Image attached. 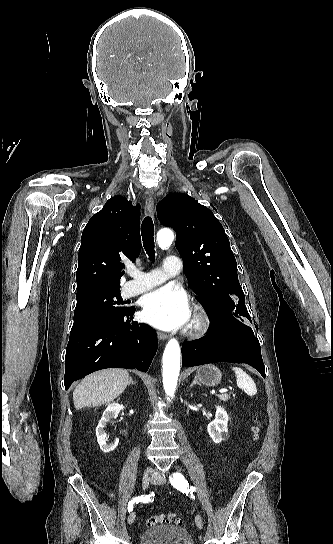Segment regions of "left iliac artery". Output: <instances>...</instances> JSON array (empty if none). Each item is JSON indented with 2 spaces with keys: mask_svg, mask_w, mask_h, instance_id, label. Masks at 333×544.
Here are the masks:
<instances>
[{
  "mask_svg": "<svg viewBox=\"0 0 333 544\" xmlns=\"http://www.w3.org/2000/svg\"><path fill=\"white\" fill-rule=\"evenodd\" d=\"M170 483L172 486H174L177 490H180L183 493H193L196 488L195 487H189L188 481L184 478V476L181 473H174L172 477H170Z\"/></svg>",
  "mask_w": 333,
  "mask_h": 544,
  "instance_id": "obj_1",
  "label": "left iliac artery"
}]
</instances>
